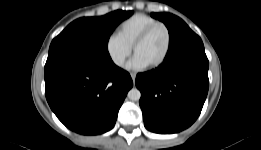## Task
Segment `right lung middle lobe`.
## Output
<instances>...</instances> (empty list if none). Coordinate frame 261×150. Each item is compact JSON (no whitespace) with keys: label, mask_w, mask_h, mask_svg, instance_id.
Here are the masks:
<instances>
[{"label":"right lung middle lobe","mask_w":261,"mask_h":150,"mask_svg":"<svg viewBox=\"0 0 261 150\" xmlns=\"http://www.w3.org/2000/svg\"><path fill=\"white\" fill-rule=\"evenodd\" d=\"M132 13L117 10L101 17H84L73 21L53 39L48 57L60 54L92 58L110 57L107 45L111 33Z\"/></svg>","instance_id":"obj_1"}]
</instances>
